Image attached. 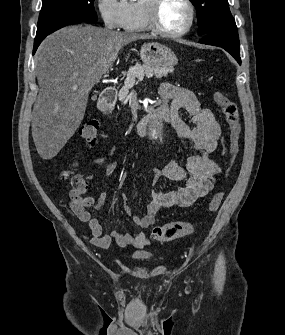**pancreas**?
I'll list each match as a JSON object with an SVG mask.
<instances>
[{"label":"pancreas","instance_id":"cf45deb5","mask_svg":"<svg viewBox=\"0 0 285 335\" xmlns=\"http://www.w3.org/2000/svg\"><path fill=\"white\" fill-rule=\"evenodd\" d=\"M172 70H174L173 66L161 68V66H147V64L141 66V64H136V66H132L131 71L126 73L127 77L124 78V86H120L119 91L120 93H130L134 88L133 84H142V78L150 81L152 79L150 74H153L159 81H164L167 72H172Z\"/></svg>","mask_w":285,"mask_h":335}]
</instances>
